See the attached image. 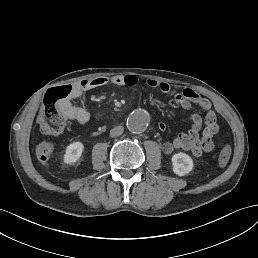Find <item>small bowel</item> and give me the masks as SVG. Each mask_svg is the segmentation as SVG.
<instances>
[{"mask_svg":"<svg viewBox=\"0 0 258 258\" xmlns=\"http://www.w3.org/2000/svg\"><path fill=\"white\" fill-rule=\"evenodd\" d=\"M108 83H112L117 86L134 87L140 83V79L132 74L115 75L111 78L95 77L85 79L74 84L71 98L62 106V110L66 118L75 120L80 124H87L90 120V114L83 107L74 105L71 100L81 97L85 92L92 89L104 87ZM143 83L164 93H168L171 89L169 84L166 82L154 79H146ZM175 99L184 109H190L192 105H197L205 111V117L203 120L199 114H191L189 116L190 127L188 132L178 134L173 141H165L162 145L163 152L169 155L175 150L182 149L190 151L195 157H199L206 152H211L215 146L213 137L219 131V125L215 113L211 110L210 102L201 97L199 93L189 88L177 93L175 95ZM160 128L164 129L165 125L160 123ZM53 149L54 147L50 142L42 141L36 148L37 159L42 164L46 165L53 154Z\"/></svg>","mask_w":258,"mask_h":258,"instance_id":"obj_1","label":"small bowel"}]
</instances>
